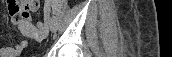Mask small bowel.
I'll use <instances>...</instances> for the list:
<instances>
[{
  "mask_svg": "<svg viewBox=\"0 0 172 57\" xmlns=\"http://www.w3.org/2000/svg\"><path fill=\"white\" fill-rule=\"evenodd\" d=\"M39 8L38 0L15 1L9 7L11 14L10 30L20 22H25L26 26H30V14L36 12ZM28 40L23 39L14 46L0 47L1 57H17L27 47Z\"/></svg>",
  "mask_w": 172,
  "mask_h": 57,
  "instance_id": "small-bowel-1",
  "label": "small bowel"
}]
</instances>
